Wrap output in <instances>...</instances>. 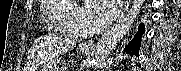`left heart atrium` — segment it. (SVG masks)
I'll return each instance as SVG.
<instances>
[{"instance_id": "left-heart-atrium-1", "label": "left heart atrium", "mask_w": 181, "mask_h": 71, "mask_svg": "<svg viewBox=\"0 0 181 71\" xmlns=\"http://www.w3.org/2000/svg\"><path fill=\"white\" fill-rule=\"evenodd\" d=\"M120 4L119 0L91 1L87 6V13L95 23L107 24L118 14Z\"/></svg>"}]
</instances>
